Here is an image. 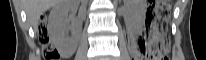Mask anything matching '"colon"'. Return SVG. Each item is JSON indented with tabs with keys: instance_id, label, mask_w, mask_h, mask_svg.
<instances>
[{
	"instance_id": "colon-1",
	"label": "colon",
	"mask_w": 206,
	"mask_h": 60,
	"mask_svg": "<svg viewBox=\"0 0 206 60\" xmlns=\"http://www.w3.org/2000/svg\"><path fill=\"white\" fill-rule=\"evenodd\" d=\"M171 7L170 0H158L152 5V10L158 15L155 22L149 23L148 29L150 38L142 42L138 52L134 55V60H168L165 52L167 47L162 44L165 40L166 17ZM38 38L42 46V54L46 60L59 59V53L51 45L46 18L42 17L38 27Z\"/></svg>"
}]
</instances>
